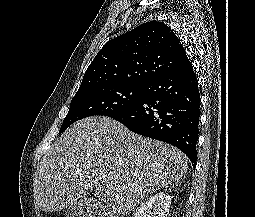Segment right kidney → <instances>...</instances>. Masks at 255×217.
Here are the masks:
<instances>
[{
  "label": "right kidney",
  "instance_id": "right-kidney-1",
  "mask_svg": "<svg viewBox=\"0 0 255 217\" xmlns=\"http://www.w3.org/2000/svg\"><path fill=\"white\" fill-rule=\"evenodd\" d=\"M170 205L171 196L157 192L136 209L133 217H167Z\"/></svg>",
  "mask_w": 255,
  "mask_h": 217
}]
</instances>
